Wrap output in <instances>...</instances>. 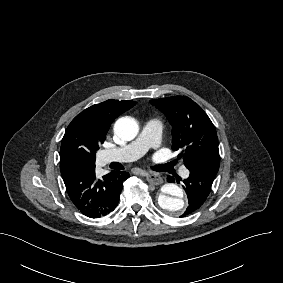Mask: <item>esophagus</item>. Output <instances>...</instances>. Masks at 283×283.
<instances>
[{
    "label": "esophagus",
    "instance_id": "obj_1",
    "mask_svg": "<svg viewBox=\"0 0 283 283\" xmlns=\"http://www.w3.org/2000/svg\"><path fill=\"white\" fill-rule=\"evenodd\" d=\"M141 175L145 176L147 181L153 185H161L163 183V179L158 174L142 172Z\"/></svg>",
    "mask_w": 283,
    "mask_h": 283
}]
</instances>
